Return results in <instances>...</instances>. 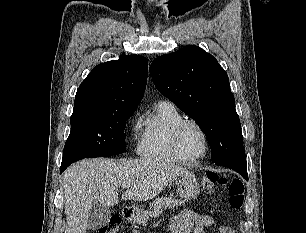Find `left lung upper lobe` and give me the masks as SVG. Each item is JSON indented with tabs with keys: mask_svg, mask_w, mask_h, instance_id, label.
<instances>
[{
	"mask_svg": "<svg viewBox=\"0 0 306 233\" xmlns=\"http://www.w3.org/2000/svg\"><path fill=\"white\" fill-rule=\"evenodd\" d=\"M150 73L157 89L205 133L217 165L246 163L235 99L226 71L209 53L186 46L156 58Z\"/></svg>",
	"mask_w": 306,
	"mask_h": 233,
	"instance_id": "5c2ea615",
	"label": "left lung upper lobe"
}]
</instances>
